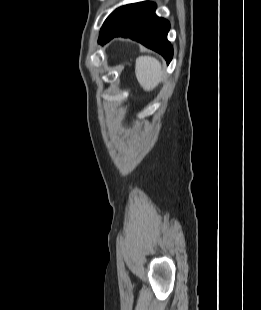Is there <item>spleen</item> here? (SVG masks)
<instances>
[{"mask_svg":"<svg viewBox=\"0 0 261 310\" xmlns=\"http://www.w3.org/2000/svg\"><path fill=\"white\" fill-rule=\"evenodd\" d=\"M135 74L145 91L153 90L163 78L161 63L150 56H141L136 59Z\"/></svg>","mask_w":261,"mask_h":310,"instance_id":"3e777b00","label":"spleen"}]
</instances>
